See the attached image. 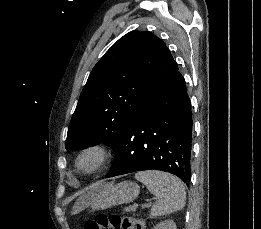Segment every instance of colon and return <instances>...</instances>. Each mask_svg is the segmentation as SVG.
Instances as JSON below:
<instances>
[{
    "label": "colon",
    "instance_id": "obj_1",
    "mask_svg": "<svg viewBox=\"0 0 261 229\" xmlns=\"http://www.w3.org/2000/svg\"><path fill=\"white\" fill-rule=\"evenodd\" d=\"M83 229H140V227L137 220L128 215L119 212H101L88 220Z\"/></svg>",
    "mask_w": 261,
    "mask_h": 229
}]
</instances>
